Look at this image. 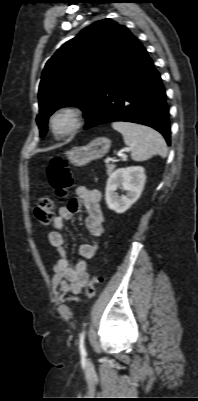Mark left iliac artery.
I'll return each instance as SVG.
<instances>
[{
  "mask_svg": "<svg viewBox=\"0 0 198 401\" xmlns=\"http://www.w3.org/2000/svg\"><path fill=\"white\" fill-rule=\"evenodd\" d=\"M84 337H85V331H83L80 334V343H79V347H80V352L81 354H85L86 350H85V346H84Z\"/></svg>",
  "mask_w": 198,
  "mask_h": 401,
  "instance_id": "44dca946",
  "label": "left iliac artery"
}]
</instances>
